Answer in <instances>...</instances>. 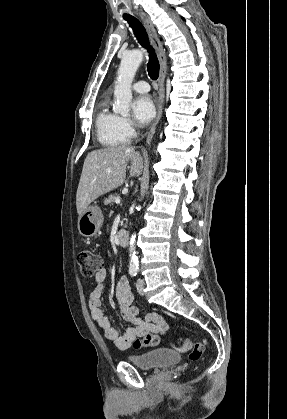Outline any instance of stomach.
<instances>
[{
    "mask_svg": "<svg viewBox=\"0 0 287 419\" xmlns=\"http://www.w3.org/2000/svg\"><path fill=\"white\" fill-rule=\"evenodd\" d=\"M103 222V214L97 205H90L78 218V230L82 236L93 237L99 232Z\"/></svg>",
    "mask_w": 287,
    "mask_h": 419,
    "instance_id": "1",
    "label": "stomach"
}]
</instances>
